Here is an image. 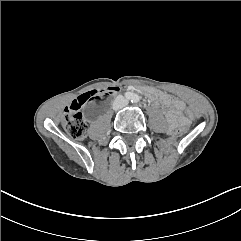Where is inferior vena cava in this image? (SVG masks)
I'll list each match as a JSON object with an SVG mask.
<instances>
[{
	"mask_svg": "<svg viewBox=\"0 0 241 241\" xmlns=\"http://www.w3.org/2000/svg\"><path fill=\"white\" fill-rule=\"evenodd\" d=\"M128 104V100L124 98L122 95H119L115 98L113 102V109L119 110L123 107H125Z\"/></svg>",
	"mask_w": 241,
	"mask_h": 241,
	"instance_id": "inferior-vena-cava-1",
	"label": "inferior vena cava"
}]
</instances>
